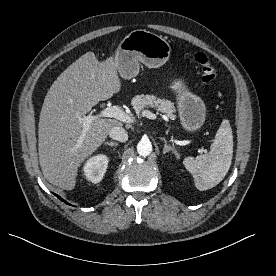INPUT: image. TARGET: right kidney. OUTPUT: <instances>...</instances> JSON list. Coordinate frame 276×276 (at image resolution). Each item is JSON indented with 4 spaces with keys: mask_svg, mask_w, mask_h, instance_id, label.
Listing matches in <instances>:
<instances>
[{
    "mask_svg": "<svg viewBox=\"0 0 276 276\" xmlns=\"http://www.w3.org/2000/svg\"><path fill=\"white\" fill-rule=\"evenodd\" d=\"M108 166V157L103 154H99L91 157L85 163L83 167L84 175L86 179L92 183H99Z\"/></svg>",
    "mask_w": 276,
    "mask_h": 276,
    "instance_id": "1",
    "label": "right kidney"
}]
</instances>
